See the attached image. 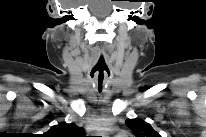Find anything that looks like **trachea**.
<instances>
[{
    "label": "trachea",
    "mask_w": 206,
    "mask_h": 137,
    "mask_svg": "<svg viewBox=\"0 0 206 137\" xmlns=\"http://www.w3.org/2000/svg\"><path fill=\"white\" fill-rule=\"evenodd\" d=\"M106 69V64L104 62L103 58H100L97 65L94 67L93 69V73L98 71V76L96 78V81L98 83V89L99 91L102 90V85H103V81H104V74L103 71ZM93 77V76H92Z\"/></svg>",
    "instance_id": "1"
}]
</instances>
